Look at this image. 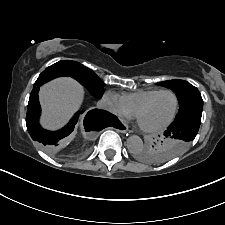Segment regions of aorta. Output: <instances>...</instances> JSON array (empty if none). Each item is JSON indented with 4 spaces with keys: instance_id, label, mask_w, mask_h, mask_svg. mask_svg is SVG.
I'll list each match as a JSON object with an SVG mask.
<instances>
[{
    "instance_id": "obj_1",
    "label": "aorta",
    "mask_w": 225,
    "mask_h": 225,
    "mask_svg": "<svg viewBox=\"0 0 225 225\" xmlns=\"http://www.w3.org/2000/svg\"><path fill=\"white\" fill-rule=\"evenodd\" d=\"M127 148L131 153H138L143 149V141L139 136H131L127 139Z\"/></svg>"
}]
</instances>
